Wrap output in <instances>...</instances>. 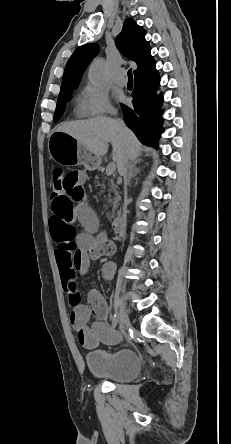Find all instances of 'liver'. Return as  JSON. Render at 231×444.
I'll return each mask as SVG.
<instances>
[{
	"instance_id": "6515ba94",
	"label": "liver",
	"mask_w": 231,
	"mask_h": 444,
	"mask_svg": "<svg viewBox=\"0 0 231 444\" xmlns=\"http://www.w3.org/2000/svg\"><path fill=\"white\" fill-rule=\"evenodd\" d=\"M55 131L71 135L98 157L107 153L108 143H111L112 160L118 168L125 158L135 161L143 150L131 130L125 125L121 127L116 120L107 117L65 122L58 125Z\"/></svg>"
}]
</instances>
